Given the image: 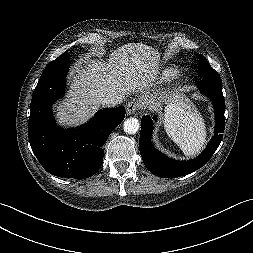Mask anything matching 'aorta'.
I'll return each mask as SVG.
<instances>
[{
    "mask_svg": "<svg viewBox=\"0 0 253 253\" xmlns=\"http://www.w3.org/2000/svg\"><path fill=\"white\" fill-rule=\"evenodd\" d=\"M124 131L128 134H135L140 128L139 120L136 118H128L123 124Z\"/></svg>",
    "mask_w": 253,
    "mask_h": 253,
    "instance_id": "1",
    "label": "aorta"
}]
</instances>
